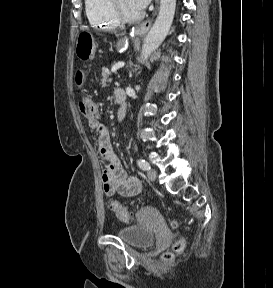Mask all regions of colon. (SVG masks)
<instances>
[{
    "label": "colon",
    "mask_w": 273,
    "mask_h": 288,
    "mask_svg": "<svg viewBox=\"0 0 273 288\" xmlns=\"http://www.w3.org/2000/svg\"><path fill=\"white\" fill-rule=\"evenodd\" d=\"M93 53V45L90 35L81 34L78 39L77 44V55L83 60H89ZM82 73L77 74V82L80 84L82 82ZM79 108L81 113L89 120H96L99 116V108L97 104L87 95L79 94ZM110 208L116 217L122 221L129 223L132 221L133 217L131 212L122 206L117 201H112ZM185 247V240L180 238L176 241L174 245V252H180ZM172 253H166L165 258H170Z\"/></svg>",
    "instance_id": "obj_1"
}]
</instances>
